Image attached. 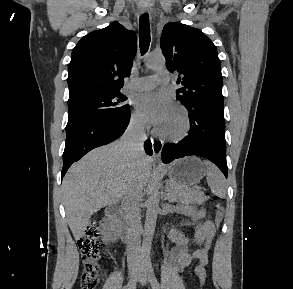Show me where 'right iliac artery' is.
Here are the masks:
<instances>
[{"instance_id": "obj_1", "label": "right iliac artery", "mask_w": 293, "mask_h": 289, "mask_svg": "<svg viewBox=\"0 0 293 289\" xmlns=\"http://www.w3.org/2000/svg\"><path fill=\"white\" fill-rule=\"evenodd\" d=\"M138 272H139V267L137 268L136 270V277H135V280L133 282H129L127 284V286L125 287V289H132L135 285V282H136V279H137V275H138ZM134 289V288H133Z\"/></svg>"}]
</instances>
